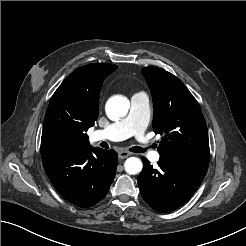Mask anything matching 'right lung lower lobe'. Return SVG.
<instances>
[{
  "label": "right lung lower lobe",
  "instance_id": "right-lung-lower-lobe-1",
  "mask_svg": "<svg viewBox=\"0 0 246 246\" xmlns=\"http://www.w3.org/2000/svg\"><path fill=\"white\" fill-rule=\"evenodd\" d=\"M58 193L72 204L90 207L109 191L117 167V153L101 148H67L42 158Z\"/></svg>",
  "mask_w": 246,
  "mask_h": 246
}]
</instances>
